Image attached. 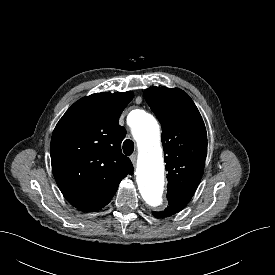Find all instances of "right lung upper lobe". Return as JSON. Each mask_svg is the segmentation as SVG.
<instances>
[{
    "label": "right lung upper lobe",
    "instance_id": "1",
    "mask_svg": "<svg viewBox=\"0 0 275 275\" xmlns=\"http://www.w3.org/2000/svg\"><path fill=\"white\" fill-rule=\"evenodd\" d=\"M133 93L103 92L75 102L57 123L50 145L54 178L81 211L106 206L133 165L121 152L126 135L119 117Z\"/></svg>",
    "mask_w": 275,
    "mask_h": 275
}]
</instances>
